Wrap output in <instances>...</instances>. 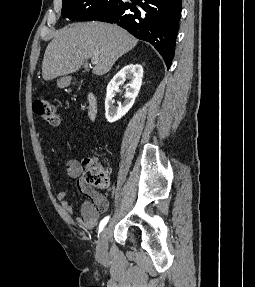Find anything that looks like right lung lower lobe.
Instances as JSON below:
<instances>
[{
    "mask_svg": "<svg viewBox=\"0 0 255 287\" xmlns=\"http://www.w3.org/2000/svg\"><path fill=\"white\" fill-rule=\"evenodd\" d=\"M121 1L98 21L115 23L151 43L170 67L175 52L182 0Z\"/></svg>",
    "mask_w": 255,
    "mask_h": 287,
    "instance_id": "98d812e1",
    "label": "right lung lower lobe"
}]
</instances>
